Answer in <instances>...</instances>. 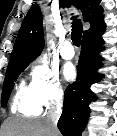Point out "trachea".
Wrapping results in <instances>:
<instances>
[{"label":"trachea","mask_w":117,"mask_h":136,"mask_svg":"<svg viewBox=\"0 0 117 136\" xmlns=\"http://www.w3.org/2000/svg\"><path fill=\"white\" fill-rule=\"evenodd\" d=\"M76 18H77L76 16L72 17L73 21H72L71 39H72L73 44L79 47L80 42H81L83 28H82V23L80 22V20Z\"/></svg>","instance_id":"1"}]
</instances>
